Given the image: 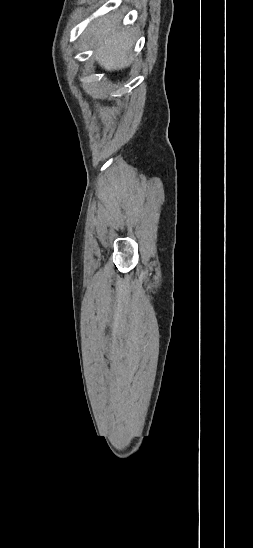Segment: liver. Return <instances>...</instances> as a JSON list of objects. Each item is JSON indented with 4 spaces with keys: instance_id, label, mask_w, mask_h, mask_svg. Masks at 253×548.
Instances as JSON below:
<instances>
[{
    "instance_id": "liver-1",
    "label": "liver",
    "mask_w": 253,
    "mask_h": 548,
    "mask_svg": "<svg viewBox=\"0 0 253 548\" xmlns=\"http://www.w3.org/2000/svg\"><path fill=\"white\" fill-rule=\"evenodd\" d=\"M120 19V15L105 16L87 30L95 47V59L107 71L124 69L133 61L131 51L136 35L133 29H120Z\"/></svg>"
}]
</instances>
